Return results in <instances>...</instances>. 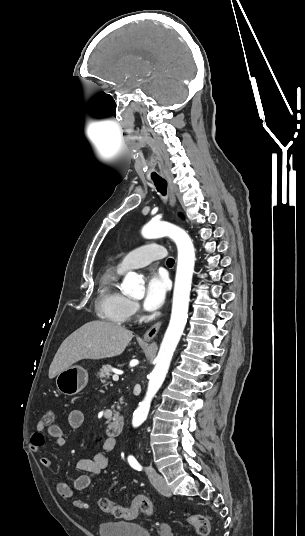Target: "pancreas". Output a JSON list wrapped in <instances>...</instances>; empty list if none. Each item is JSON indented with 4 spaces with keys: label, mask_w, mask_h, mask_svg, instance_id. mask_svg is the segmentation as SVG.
Here are the masks:
<instances>
[{
    "label": "pancreas",
    "mask_w": 305,
    "mask_h": 536,
    "mask_svg": "<svg viewBox=\"0 0 305 536\" xmlns=\"http://www.w3.org/2000/svg\"><path fill=\"white\" fill-rule=\"evenodd\" d=\"M96 376L100 378L102 384H105L106 380H109L110 376H112L111 366H103ZM115 416H119V412H115Z\"/></svg>",
    "instance_id": "pancreas-1"
}]
</instances>
